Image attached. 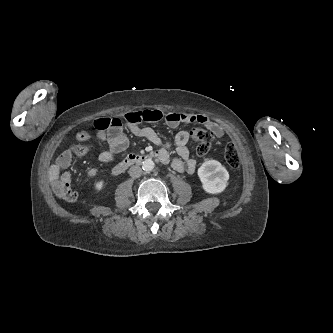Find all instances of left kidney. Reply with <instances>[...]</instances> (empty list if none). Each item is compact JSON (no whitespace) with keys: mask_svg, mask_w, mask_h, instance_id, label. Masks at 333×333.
<instances>
[{"mask_svg":"<svg viewBox=\"0 0 333 333\" xmlns=\"http://www.w3.org/2000/svg\"><path fill=\"white\" fill-rule=\"evenodd\" d=\"M198 176L204 191L210 194L224 191L229 179L227 169L216 160L204 162L198 169Z\"/></svg>","mask_w":333,"mask_h":333,"instance_id":"5707ae66","label":"left kidney"}]
</instances>
